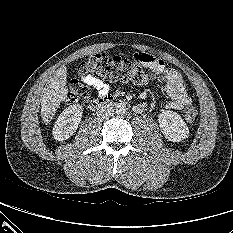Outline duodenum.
Wrapping results in <instances>:
<instances>
[{"mask_svg": "<svg viewBox=\"0 0 233 233\" xmlns=\"http://www.w3.org/2000/svg\"><path fill=\"white\" fill-rule=\"evenodd\" d=\"M125 105V101L115 96H106L104 98L96 99L91 102L90 108L92 110H100L106 106Z\"/></svg>", "mask_w": 233, "mask_h": 233, "instance_id": "1", "label": "duodenum"}]
</instances>
